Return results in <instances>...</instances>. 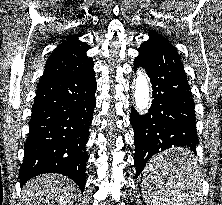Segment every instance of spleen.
<instances>
[{
  "mask_svg": "<svg viewBox=\"0 0 222 205\" xmlns=\"http://www.w3.org/2000/svg\"><path fill=\"white\" fill-rule=\"evenodd\" d=\"M201 182L190 158L163 153L145 166L142 192L148 205H203Z\"/></svg>",
  "mask_w": 222,
  "mask_h": 205,
  "instance_id": "obj_1",
  "label": "spleen"
}]
</instances>
